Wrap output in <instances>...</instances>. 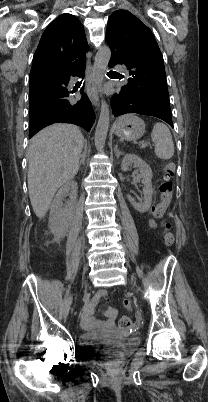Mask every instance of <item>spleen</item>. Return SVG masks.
<instances>
[{
  "label": "spleen",
  "mask_w": 208,
  "mask_h": 402,
  "mask_svg": "<svg viewBox=\"0 0 208 402\" xmlns=\"http://www.w3.org/2000/svg\"><path fill=\"white\" fill-rule=\"evenodd\" d=\"M152 142L155 144V154L161 160H170L174 156V144L171 132L165 124H154L152 134Z\"/></svg>",
  "instance_id": "3e777b00"
}]
</instances>
